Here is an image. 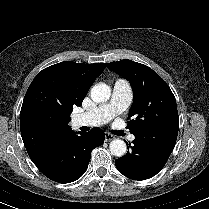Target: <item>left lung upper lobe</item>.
<instances>
[{"label":"left lung upper lobe","instance_id":"5c2ea615","mask_svg":"<svg viewBox=\"0 0 209 209\" xmlns=\"http://www.w3.org/2000/svg\"><path fill=\"white\" fill-rule=\"evenodd\" d=\"M106 65L132 85L134 101L127 125L131 133L155 139H176L179 129L176 100L165 81L148 66L131 60Z\"/></svg>","mask_w":209,"mask_h":209}]
</instances>
